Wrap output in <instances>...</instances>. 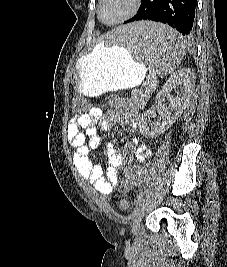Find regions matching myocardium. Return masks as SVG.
<instances>
[{
    "instance_id": "f54148a6",
    "label": "myocardium",
    "mask_w": 227,
    "mask_h": 267,
    "mask_svg": "<svg viewBox=\"0 0 227 267\" xmlns=\"http://www.w3.org/2000/svg\"><path fill=\"white\" fill-rule=\"evenodd\" d=\"M104 1L105 0H99L98 7H97V15H98L99 20L106 25H117V24H120V23H123L129 20L130 18H132L134 15L137 14L142 4V0H131V7L125 15H123L122 17H120L119 19L115 21L105 22L102 18V5Z\"/></svg>"
}]
</instances>
